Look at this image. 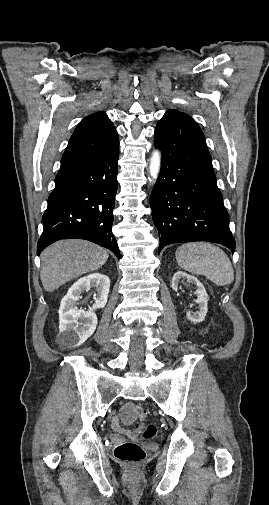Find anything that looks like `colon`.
I'll list each match as a JSON object with an SVG mask.
<instances>
[{
  "instance_id": "obj_1",
  "label": "colon",
  "mask_w": 269,
  "mask_h": 505,
  "mask_svg": "<svg viewBox=\"0 0 269 505\" xmlns=\"http://www.w3.org/2000/svg\"><path fill=\"white\" fill-rule=\"evenodd\" d=\"M134 413L139 418H142L144 415L141 407H135ZM155 434V425L147 424L143 430L142 438L148 440L153 438ZM114 456L122 463L136 465L142 462L145 458V450L136 442L125 441L116 445L114 449Z\"/></svg>"
}]
</instances>
